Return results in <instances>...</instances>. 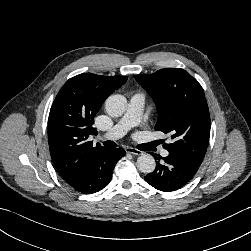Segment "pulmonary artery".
I'll use <instances>...</instances> for the list:
<instances>
[{"label": "pulmonary artery", "mask_w": 251, "mask_h": 251, "mask_svg": "<svg viewBox=\"0 0 251 251\" xmlns=\"http://www.w3.org/2000/svg\"><path fill=\"white\" fill-rule=\"evenodd\" d=\"M145 95L142 92L135 93L129 100L127 110L123 117L106 133L110 139L122 138L130 128L136 126L142 115ZM161 155L168 156L167 150H162Z\"/></svg>", "instance_id": "1"}]
</instances>
